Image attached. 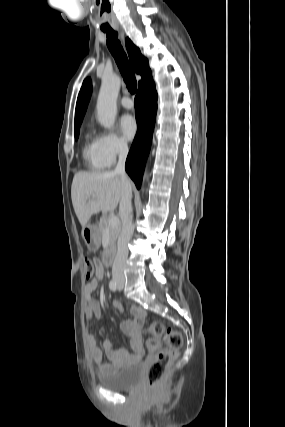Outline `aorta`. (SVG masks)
I'll list each match as a JSON object with an SVG mask.
<instances>
[{
  "instance_id": "1",
  "label": "aorta",
  "mask_w": 285,
  "mask_h": 427,
  "mask_svg": "<svg viewBox=\"0 0 285 427\" xmlns=\"http://www.w3.org/2000/svg\"><path fill=\"white\" fill-rule=\"evenodd\" d=\"M121 79L116 75L104 76L97 99L98 121L105 128L114 125L117 114V97L120 91ZM146 174L144 175L145 178Z\"/></svg>"
}]
</instances>
